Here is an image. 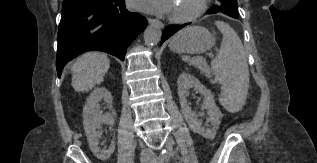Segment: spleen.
<instances>
[{
	"label": "spleen",
	"mask_w": 317,
	"mask_h": 163,
	"mask_svg": "<svg viewBox=\"0 0 317 163\" xmlns=\"http://www.w3.org/2000/svg\"><path fill=\"white\" fill-rule=\"evenodd\" d=\"M223 35L216 58L211 62V70L223 92L220 104L230 113L238 112L246 99L249 88V69L243 44L237 33L222 21L215 22Z\"/></svg>",
	"instance_id": "1"
}]
</instances>
